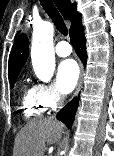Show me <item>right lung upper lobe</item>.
I'll use <instances>...</instances> for the list:
<instances>
[{"mask_svg": "<svg viewBox=\"0 0 114 156\" xmlns=\"http://www.w3.org/2000/svg\"><path fill=\"white\" fill-rule=\"evenodd\" d=\"M55 5L66 20L71 21L70 32L81 24L82 15L76 10V4H72L69 0H54ZM29 54V46L27 37L22 34L18 41L14 44L8 63V77L19 74L24 66Z\"/></svg>", "mask_w": 114, "mask_h": 156, "instance_id": "1", "label": "right lung upper lobe"}]
</instances>
